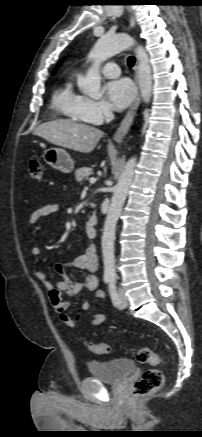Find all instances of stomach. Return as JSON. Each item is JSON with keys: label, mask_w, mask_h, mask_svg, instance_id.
Masks as SVG:
<instances>
[{"label": "stomach", "mask_w": 202, "mask_h": 437, "mask_svg": "<svg viewBox=\"0 0 202 437\" xmlns=\"http://www.w3.org/2000/svg\"><path fill=\"white\" fill-rule=\"evenodd\" d=\"M44 161L52 168L62 173H70L74 168L71 156L62 148H49L43 153Z\"/></svg>", "instance_id": "obj_1"}]
</instances>
